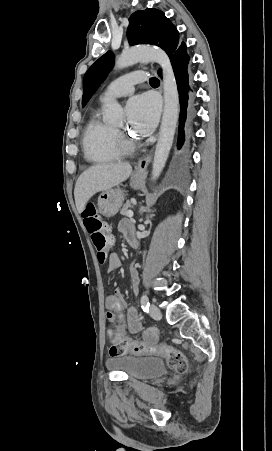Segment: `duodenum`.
<instances>
[{
    "label": "duodenum",
    "instance_id": "duodenum-1",
    "mask_svg": "<svg viewBox=\"0 0 272 451\" xmlns=\"http://www.w3.org/2000/svg\"><path fill=\"white\" fill-rule=\"evenodd\" d=\"M129 242H130V244H131L132 247H137V246H138V241H137L136 237H132V238L129 240Z\"/></svg>",
    "mask_w": 272,
    "mask_h": 451
}]
</instances>
